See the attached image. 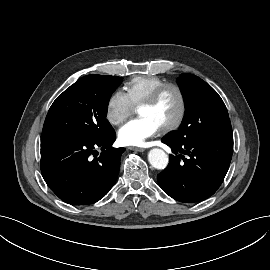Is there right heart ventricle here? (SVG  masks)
Returning a JSON list of instances; mask_svg holds the SVG:
<instances>
[{"label":"right heart ventricle","instance_id":"e07e8e85","mask_svg":"<svg viewBox=\"0 0 270 270\" xmlns=\"http://www.w3.org/2000/svg\"><path fill=\"white\" fill-rule=\"evenodd\" d=\"M166 80L158 76H136L127 82L126 93L135 106L140 105L159 85Z\"/></svg>","mask_w":270,"mask_h":270}]
</instances>
